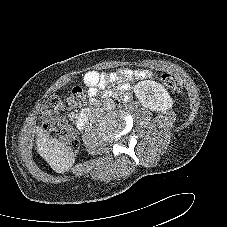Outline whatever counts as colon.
Here are the masks:
<instances>
[{
    "label": "colon",
    "instance_id": "obj_1",
    "mask_svg": "<svg viewBox=\"0 0 227 227\" xmlns=\"http://www.w3.org/2000/svg\"><path fill=\"white\" fill-rule=\"evenodd\" d=\"M163 82L173 92L182 89L179 79L173 74H164ZM86 98V92L81 86H75L69 93L68 100L74 105H80ZM40 117L48 136L69 147L72 151L79 148V140L70 128L67 118V110L62 100L57 96L49 97L43 104Z\"/></svg>",
    "mask_w": 227,
    "mask_h": 227
}]
</instances>
